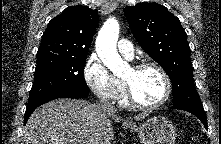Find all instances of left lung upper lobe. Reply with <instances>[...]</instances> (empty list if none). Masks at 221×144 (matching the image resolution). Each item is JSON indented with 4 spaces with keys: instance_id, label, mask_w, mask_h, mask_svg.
<instances>
[{
    "instance_id": "left-lung-upper-lobe-1",
    "label": "left lung upper lobe",
    "mask_w": 221,
    "mask_h": 144,
    "mask_svg": "<svg viewBox=\"0 0 221 144\" xmlns=\"http://www.w3.org/2000/svg\"><path fill=\"white\" fill-rule=\"evenodd\" d=\"M124 14L135 39L170 77L173 106L203 109L194 86L191 50L179 19L158 3L127 6Z\"/></svg>"
}]
</instances>
